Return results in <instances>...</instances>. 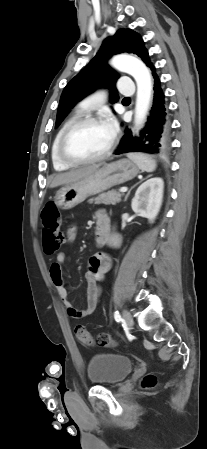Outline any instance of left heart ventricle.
<instances>
[{
  "label": "left heart ventricle",
  "instance_id": "left-heart-ventricle-1",
  "mask_svg": "<svg viewBox=\"0 0 207 449\" xmlns=\"http://www.w3.org/2000/svg\"><path fill=\"white\" fill-rule=\"evenodd\" d=\"M112 135L105 124H86L77 127L66 141L67 153L75 158H91L103 153Z\"/></svg>",
  "mask_w": 207,
  "mask_h": 449
}]
</instances>
